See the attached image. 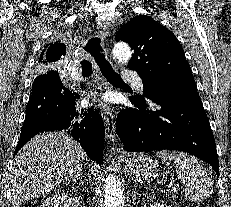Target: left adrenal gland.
<instances>
[{
	"label": "left adrenal gland",
	"mask_w": 231,
	"mask_h": 207,
	"mask_svg": "<svg viewBox=\"0 0 231 207\" xmlns=\"http://www.w3.org/2000/svg\"><path fill=\"white\" fill-rule=\"evenodd\" d=\"M138 195H139V194H138V192H137V190H136V188H135V190H134V192H133V194H132L133 203L135 202V200H136V198H137Z\"/></svg>",
	"instance_id": "1"
}]
</instances>
